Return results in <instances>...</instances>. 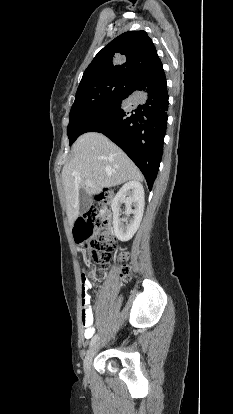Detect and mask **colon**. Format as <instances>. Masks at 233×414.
I'll return each instance as SVG.
<instances>
[{
  "label": "colon",
  "mask_w": 233,
  "mask_h": 414,
  "mask_svg": "<svg viewBox=\"0 0 233 414\" xmlns=\"http://www.w3.org/2000/svg\"><path fill=\"white\" fill-rule=\"evenodd\" d=\"M112 192L104 189L96 196V201L90 211L79 217L74 227V237L77 243L89 246L92 249L90 255L89 277L102 276L105 267L111 259V252L115 247V241L111 233L107 230L110 224V212L108 204L110 203ZM95 230H102L95 235ZM122 258L126 255L123 253ZM131 270L129 266L124 265L120 270V278L127 282L130 280Z\"/></svg>",
  "instance_id": "obj_1"
}]
</instances>
